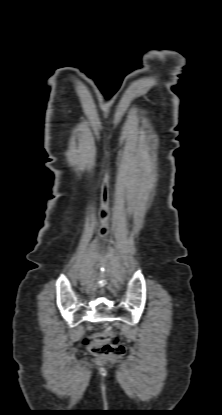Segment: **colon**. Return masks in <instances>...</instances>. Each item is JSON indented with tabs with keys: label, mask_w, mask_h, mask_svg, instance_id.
<instances>
[{
	"label": "colon",
	"mask_w": 222,
	"mask_h": 415,
	"mask_svg": "<svg viewBox=\"0 0 222 415\" xmlns=\"http://www.w3.org/2000/svg\"><path fill=\"white\" fill-rule=\"evenodd\" d=\"M82 345L90 353L101 359L120 356L125 351V347L111 330H103L98 334L84 337Z\"/></svg>",
	"instance_id": "colon-1"
}]
</instances>
